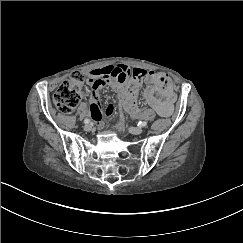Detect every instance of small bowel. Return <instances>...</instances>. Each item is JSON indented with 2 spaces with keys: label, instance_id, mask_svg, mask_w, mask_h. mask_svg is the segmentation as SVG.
<instances>
[{
  "label": "small bowel",
  "instance_id": "small-bowel-1",
  "mask_svg": "<svg viewBox=\"0 0 243 243\" xmlns=\"http://www.w3.org/2000/svg\"><path fill=\"white\" fill-rule=\"evenodd\" d=\"M136 70L144 73V79L148 84L145 98L149 106L160 116H170L173 112L176 95L168 76L162 72ZM130 73L131 70L126 65L105 66L86 73V82L92 87L90 114L94 120L101 122L105 116L112 115L115 110L112 104L105 109L101 108L98 90L105 85L119 90Z\"/></svg>",
  "mask_w": 243,
  "mask_h": 243
}]
</instances>
